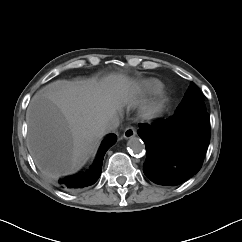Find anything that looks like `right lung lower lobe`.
I'll use <instances>...</instances> for the list:
<instances>
[{"label":"right lung lower lobe","instance_id":"98d812e1","mask_svg":"<svg viewBox=\"0 0 242 242\" xmlns=\"http://www.w3.org/2000/svg\"><path fill=\"white\" fill-rule=\"evenodd\" d=\"M116 135L107 136L102 142L93 165L85 173L58 180L60 188L67 191H76L93 184L101 174L103 158L106 151L116 142Z\"/></svg>","mask_w":242,"mask_h":242}]
</instances>
